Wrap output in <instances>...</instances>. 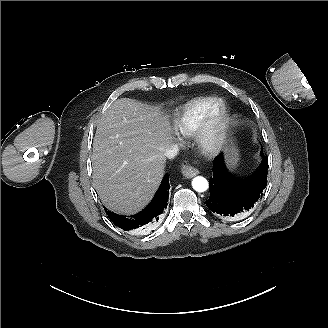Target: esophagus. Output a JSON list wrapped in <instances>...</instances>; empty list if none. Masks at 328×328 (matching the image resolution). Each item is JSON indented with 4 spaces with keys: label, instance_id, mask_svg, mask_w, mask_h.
I'll return each instance as SVG.
<instances>
[{
    "label": "esophagus",
    "instance_id": "1",
    "mask_svg": "<svg viewBox=\"0 0 328 328\" xmlns=\"http://www.w3.org/2000/svg\"><path fill=\"white\" fill-rule=\"evenodd\" d=\"M181 173L186 178H192L198 175L200 172L197 168H194L189 163L184 162L181 167Z\"/></svg>",
    "mask_w": 328,
    "mask_h": 328
}]
</instances>
